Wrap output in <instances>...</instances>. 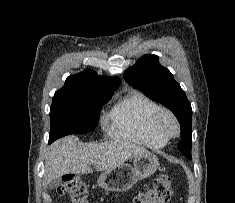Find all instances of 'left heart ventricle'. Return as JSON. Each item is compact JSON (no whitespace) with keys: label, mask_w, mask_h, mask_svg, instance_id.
Segmentation results:
<instances>
[{"label":"left heart ventricle","mask_w":235,"mask_h":203,"mask_svg":"<svg viewBox=\"0 0 235 203\" xmlns=\"http://www.w3.org/2000/svg\"><path fill=\"white\" fill-rule=\"evenodd\" d=\"M163 125L167 129H171L173 127L172 123L170 121H168V120H165Z\"/></svg>","instance_id":"b2bd125f"}]
</instances>
